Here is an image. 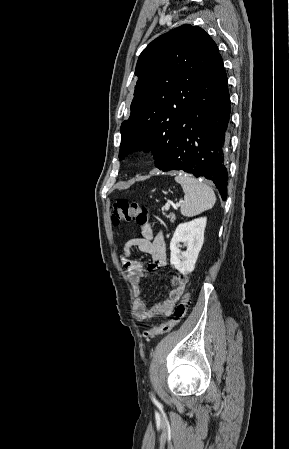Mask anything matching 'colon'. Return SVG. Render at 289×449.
Here are the masks:
<instances>
[{"label":"colon","instance_id":"colon-1","mask_svg":"<svg viewBox=\"0 0 289 449\" xmlns=\"http://www.w3.org/2000/svg\"><path fill=\"white\" fill-rule=\"evenodd\" d=\"M132 220L137 221L139 224L148 222L149 209L146 206L140 205L138 203H130L125 199L117 200L113 206V224L119 225L123 222H129ZM189 301V293L185 292L182 296L181 301L175 307L171 319L152 329L145 330L144 336L146 338H153L158 335L169 333L174 327L179 324V322L185 316Z\"/></svg>","mask_w":289,"mask_h":449}]
</instances>
